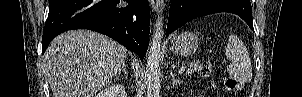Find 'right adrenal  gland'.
<instances>
[{
	"mask_svg": "<svg viewBox=\"0 0 302 97\" xmlns=\"http://www.w3.org/2000/svg\"><path fill=\"white\" fill-rule=\"evenodd\" d=\"M121 72H123L125 75H127L125 63H123L121 68L118 70V74H120Z\"/></svg>",
	"mask_w": 302,
	"mask_h": 97,
	"instance_id": "1",
	"label": "right adrenal gland"
}]
</instances>
